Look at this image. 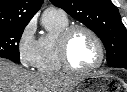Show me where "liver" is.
Returning a JSON list of instances; mask_svg holds the SVG:
<instances>
[{
	"instance_id": "1",
	"label": "liver",
	"mask_w": 127,
	"mask_h": 92,
	"mask_svg": "<svg viewBox=\"0 0 127 92\" xmlns=\"http://www.w3.org/2000/svg\"><path fill=\"white\" fill-rule=\"evenodd\" d=\"M82 78L30 73L0 59V92H71Z\"/></svg>"
}]
</instances>
